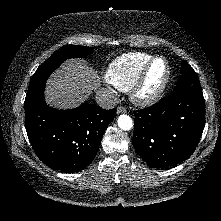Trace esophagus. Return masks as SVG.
I'll list each match as a JSON object with an SVG mask.
<instances>
[{
    "label": "esophagus",
    "instance_id": "34e87169",
    "mask_svg": "<svg viewBox=\"0 0 221 221\" xmlns=\"http://www.w3.org/2000/svg\"><path fill=\"white\" fill-rule=\"evenodd\" d=\"M126 113V109L122 106H119L117 108V114Z\"/></svg>",
    "mask_w": 221,
    "mask_h": 221
}]
</instances>
